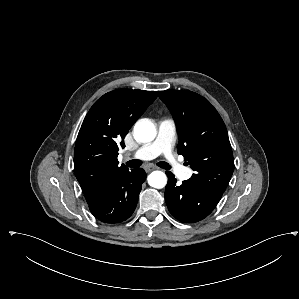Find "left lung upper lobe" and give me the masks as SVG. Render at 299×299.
<instances>
[{
  "label": "left lung upper lobe",
  "instance_id": "1",
  "mask_svg": "<svg viewBox=\"0 0 299 299\" xmlns=\"http://www.w3.org/2000/svg\"><path fill=\"white\" fill-rule=\"evenodd\" d=\"M178 131V152L195 171L190 180L222 196L234 170L225 124L217 110L191 91L166 90L159 94Z\"/></svg>",
  "mask_w": 299,
  "mask_h": 299
}]
</instances>
